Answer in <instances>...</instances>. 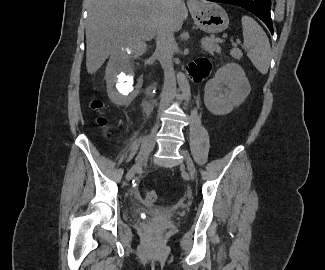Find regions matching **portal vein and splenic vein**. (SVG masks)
<instances>
[{
  "label": "portal vein and splenic vein",
  "mask_w": 325,
  "mask_h": 270,
  "mask_svg": "<svg viewBox=\"0 0 325 270\" xmlns=\"http://www.w3.org/2000/svg\"><path fill=\"white\" fill-rule=\"evenodd\" d=\"M222 42L223 40L222 39H209V38H206V39H203L201 44H202V47H207L209 45V42ZM232 44L234 46H237L238 44H240V40H236V43L232 42Z\"/></svg>",
  "instance_id": "portal-vein-and-splenic-vein-1"
}]
</instances>
